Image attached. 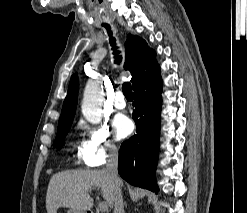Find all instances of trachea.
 I'll return each mask as SVG.
<instances>
[{"label": "trachea", "instance_id": "obj_1", "mask_svg": "<svg viewBox=\"0 0 247 213\" xmlns=\"http://www.w3.org/2000/svg\"><path fill=\"white\" fill-rule=\"evenodd\" d=\"M108 30V34L110 36V44L113 50H116L115 38L112 37V32L110 31L109 25H104ZM119 51H114L115 54V63L119 64L121 62L122 57L118 55ZM122 91L126 99H133L132 87L129 82H124L122 85Z\"/></svg>", "mask_w": 247, "mask_h": 213}]
</instances>
